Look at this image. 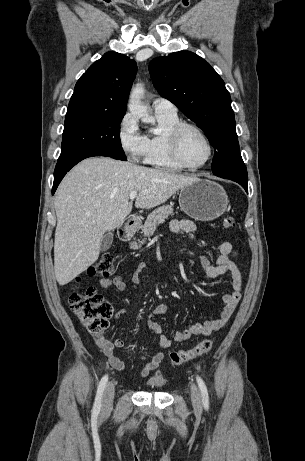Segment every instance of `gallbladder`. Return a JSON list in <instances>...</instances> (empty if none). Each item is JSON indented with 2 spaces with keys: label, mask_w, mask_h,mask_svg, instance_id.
I'll list each match as a JSON object with an SVG mask.
<instances>
[{
  "label": "gallbladder",
  "mask_w": 305,
  "mask_h": 461,
  "mask_svg": "<svg viewBox=\"0 0 305 461\" xmlns=\"http://www.w3.org/2000/svg\"><path fill=\"white\" fill-rule=\"evenodd\" d=\"M113 237H114V234H113L112 231L107 232L103 236V238L101 240V244H100V250L101 251H103V252L107 251L111 247L112 242H113Z\"/></svg>",
  "instance_id": "gallbladder-1"
}]
</instances>
